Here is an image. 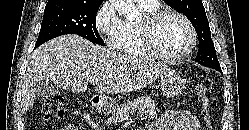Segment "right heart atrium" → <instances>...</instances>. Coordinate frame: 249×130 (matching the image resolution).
<instances>
[{
	"mask_svg": "<svg viewBox=\"0 0 249 130\" xmlns=\"http://www.w3.org/2000/svg\"><path fill=\"white\" fill-rule=\"evenodd\" d=\"M94 26L108 46L116 47L122 29V21L116 15L110 2H104L99 7L94 17Z\"/></svg>",
	"mask_w": 249,
	"mask_h": 130,
	"instance_id": "1",
	"label": "right heart atrium"
}]
</instances>
